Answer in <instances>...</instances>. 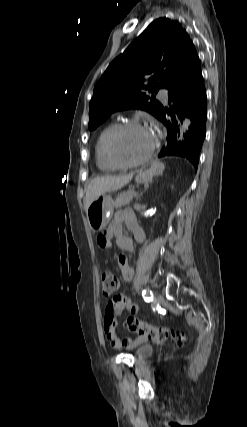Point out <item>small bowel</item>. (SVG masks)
<instances>
[{"label": "small bowel", "mask_w": 247, "mask_h": 427, "mask_svg": "<svg viewBox=\"0 0 247 427\" xmlns=\"http://www.w3.org/2000/svg\"><path fill=\"white\" fill-rule=\"evenodd\" d=\"M124 224L133 233L138 242L143 243L145 241L144 231L138 225L133 212L130 210H120L115 214L108 228L98 236L97 243L99 247L102 249H109L112 246V240H115L120 249L124 251H133V240L122 233ZM117 262L123 279L126 282L132 281L134 270L130 266L127 256L123 254L119 255ZM125 311L135 314L139 311V306L123 295L114 296L109 301L105 310L103 318L104 334L108 342L115 349L133 348L145 340L141 337L132 340L129 337H119L117 335L116 328L118 327V317Z\"/></svg>", "instance_id": "small-bowel-1"}]
</instances>
